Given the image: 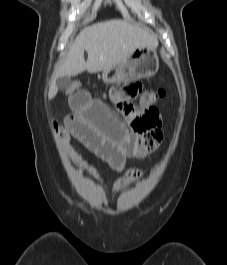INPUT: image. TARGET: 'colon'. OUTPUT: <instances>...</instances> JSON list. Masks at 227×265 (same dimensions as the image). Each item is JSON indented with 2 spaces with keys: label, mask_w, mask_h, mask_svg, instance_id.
I'll list each match as a JSON object with an SVG mask.
<instances>
[{
  "label": "colon",
  "mask_w": 227,
  "mask_h": 265,
  "mask_svg": "<svg viewBox=\"0 0 227 265\" xmlns=\"http://www.w3.org/2000/svg\"><path fill=\"white\" fill-rule=\"evenodd\" d=\"M71 87L81 86L78 82L71 83L65 91L67 96H71ZM137 92L138 86H119L112 89L111 98L115 105L120 104V107L117 108L128 119L132 130L143 134L160 127L161 117L155 104L165 97L166 92L163 89L145 91L140 96L139 105L137 107L133 105V111H130V108L121 111V108H125L123 100H128V103H131L130 99ZM55 126L57 127V124Z\"/></svg>",
  "instance_id": "5ec220e1"
}]
</instances>
